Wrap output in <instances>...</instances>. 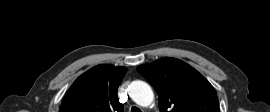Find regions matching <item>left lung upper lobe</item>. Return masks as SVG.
<instances>
[{
	"label": "left lung upper lobe",
	"mask_w": 270,
	"mask_h": 112,
	"mask_svg": "<svg viewBox=\"0 0 270 112\" xmlns=\"http://www.w3.org/2000/svg\"><path fill=\"white\" fill-rule=\"evenodd\" d=\"M137 70L157 91L161 112H219L215 89L187 63L166 57Z\"/></svg>",
	"instance_id": "1"
}]
</instances>
